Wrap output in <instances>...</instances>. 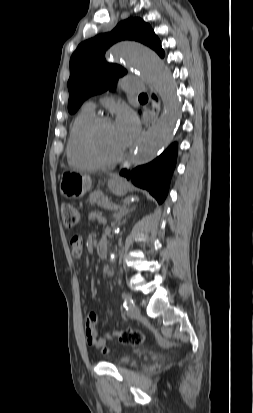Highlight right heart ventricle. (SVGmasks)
Returning <instances> with one entry per match:
<instances>
[{
	"mask_svg": "<svg viewBox=\"0 0 253 413\" xmlns=\"http://www.w3.org/2000/svg\"><path fill=\"white\" fill-rule=\"evenodd\" d=\"M94 117V111L83 108L72 122L66 145V156L69 164L74 167L95 169L99 166L87 154L83 141L85 128Z\"/></svg>",
	"mask_w": 253,
	"mask_h": 413,
	"instance_id": "1",
	"label": "right heart ventricle"
}]
</instances>
